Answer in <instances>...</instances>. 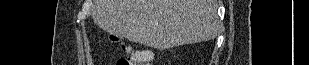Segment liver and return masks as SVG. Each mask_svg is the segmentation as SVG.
Masks as SVG:
<instances>
[{
	"instance_id": "obj_1",
	"label": "liver",
	"mask_w": 309,
	"mask_h": 65,
	"mask_svg": "<svg viewBox=\"0 0 309 65\" xmlns=\"http://www.w3.org/2000/svg\"><path fill=\"white\" fill-rule=\"evenodd\" d=\"M217 0H93L94 23L109 34L159 50L218 33Z\"/></svg>"
}]
</instances>
